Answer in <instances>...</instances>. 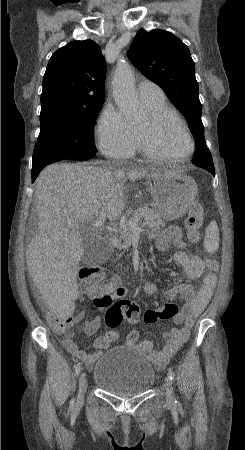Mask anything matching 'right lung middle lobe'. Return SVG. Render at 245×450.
Returning <instances> with one entry per match:
<instances>
[{
    "label": "right lung middle lobe",
    "instance_id": "right-lung-middle-lobe-1",
    "mask_svg": "<svg viewBox=\"0 0 245 450\" xmlns=\"http://www.w3.org/2000/svg\"><path fill=\"white\" fill-rule=\"evenodd\" d=\"M102 105L89 109L53 105L41 109V129L38 149L33 152V168L64 155L96 153L92 127Z\"/></svg>",
    "mask_w": 245,
    "mask_h": 450
}]
</instances>
